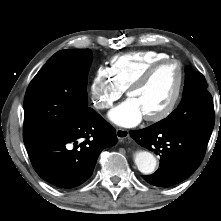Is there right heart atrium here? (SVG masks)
Segmentation results:
<instances>
[{
    "label": "right heart atrium",
    "mask_w": 221,
    "mask_h": 221,
    "mask_svg": "<svg viewBox=\"0 0 221 221\" xmlns=\"http://www.w3.org/2000/svg\"><path fill=\"white\" fill-rule=\"evenodd\" d=\"M123 89L112 77L108 68L99 66L91 80L90 96L98 110L111 108L124 94Z\"/></svg>",
    "instance_id": "right-heart-atrium-1"
}]
</instances>
